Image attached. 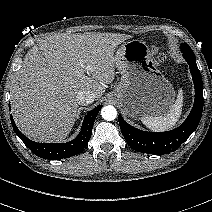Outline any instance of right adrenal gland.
<instances>
[{
    "instance_id": "right-adrenal-gland-1",
    "label": "right adrenal gland",
    "mask_w": 212,
    "mask_h": 212,
    "mask_svg": "<svg viewBox=\"0 0 212 212\" xmlns=\"http://www.w3.org/2000/svg\"><path fill=\"white\" fill-rule=\"evenodd\" d=\"M82 109H83L82 107H80V108L78 109V112H77V118L79 117L80 110H82Z\"/></svg>"
}]
</instances>
